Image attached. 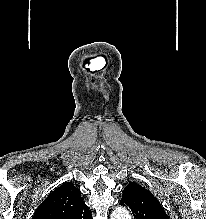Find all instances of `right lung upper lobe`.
I'll list each match as a JSON object with an SVG mask.
<instances>
[{"mask_svg":"<svg viewBox=\"0 0 206 219\" xmlns=\"http://www.w3.org/2000/svg\"><path fill=\"white\" fill-rule=\"evenodd\" d=\"M91 211L73 184L59 186L38 206L33 219H91Z\"/></svg>","mask_w":206,"mask_h":219,"instance_id":"right-lung-upper-lobe-1","label":"right lung upper lobe"}]
</instances>
